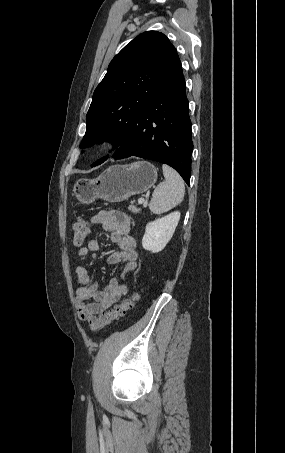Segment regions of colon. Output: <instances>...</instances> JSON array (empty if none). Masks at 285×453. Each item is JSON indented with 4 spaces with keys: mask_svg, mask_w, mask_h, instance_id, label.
I'll return each mask as SVG.
<instances>
[{
    "mask_svg": "<svg viewBox=\"0 0 285 453\" xmlns=\"http://www.w3.org/2000/svg\"><path fill=\"white\" fill-rule=\"evenodd\" d=\"M89 233L87 222L78 218L73 224V244L75 247H81ZM138 299V293L132 292L128 297L122 300L121 303L115 305L111 309L100 313L98 316L89 318L90 329L94 332L102 330L105 326L111 324L115 320L124 317L129 310L132 309L135 301Z\"/></svg>",
    "mask_w": 285,
    "mask_h": 453,
    "instance_id": "5ec220e1",
    "label": "colon"
}]
</instances>
